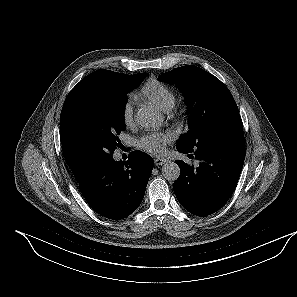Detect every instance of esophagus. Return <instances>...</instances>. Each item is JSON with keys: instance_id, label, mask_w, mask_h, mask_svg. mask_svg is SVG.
Instances as JSON below:
<instances>
[{"instance_id": "obj_1", "label": "esophagus", "mask_w": 297, "mask_h": 297, "mask_svg": "<svg viewBox=\"0 0 297 297\" xmlns=\"http://www.w3.org/2000/svg\"><path fill=\"white\" fill-rule=\"evenodd\" d=\"M165 162H167V159H165V158H155L154 159V163H155L156 166L162 165Z\"/></svg>"}]
</instances>
